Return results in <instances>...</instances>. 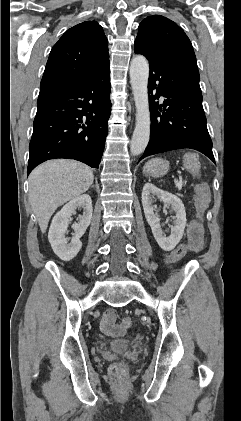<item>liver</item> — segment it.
<instances>
[{
  "instance_id": "1",
  "label": "liver",
  "mask_w": 241,
  "mask_h": 421,
  "mask_svg": "<svg viewBox=\"0 0 241 421\" xmlns=\"http://www.w3.org/2000/svg\"><path fill=\"white\" fill-rule=\"evenodd\" d=\"M91 169L81 162L58 159L45 162L29 175V201L42 233L55 210L86 192L93 183Z\"/></svg>"
}]
</instances>
